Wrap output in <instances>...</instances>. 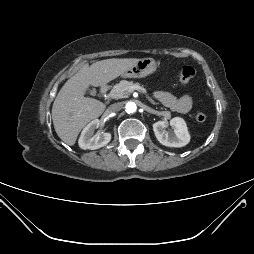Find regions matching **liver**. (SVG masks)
<instances>
[{"label": "liver", "instance_id": "obj_1", "mask_svg": "<svg viewBox=\"0 0 254 254\" xmlns=\"http://www.w3.org/2000/svg\"><path fill=\"white\" fill-rule=\"evenodd\" d=\"M139 59H106L85 64L63 85L52 107V120L59 138L73 146L82 128L92 119L99 117L105 104L85 97L89 86H104L121 76L135 65Z\"/></svg>", "mask_w": 254, "mask_h": 254}]
</instances>
